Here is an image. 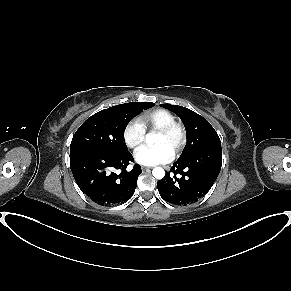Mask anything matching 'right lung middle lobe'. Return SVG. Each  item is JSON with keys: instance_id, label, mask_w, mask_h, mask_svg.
<instances>
[{"instance_id": "right-lung-middle-lobe-1", "label": "right lung middle lobe", "mask_w": 291, "mask_h": 291, "mask_svg": "<svg viewBox=\"0 0 291 291\" xmlns=\"http://www.w3.org/2000/svg\"><path fill=\"white\" fill-rule=\"evenodd\" d=\"M154 103L132 102L110 107L89 117L74 134L70 155L80 152H127L124 131L129 121Z\"/></svg>"}]
</instances>
